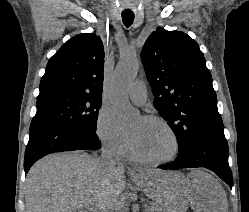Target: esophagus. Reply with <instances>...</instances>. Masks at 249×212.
<instances>
[{
    "mask_svg": "<svg viewBox=\"0 0 249 212\" xmlns=\"http://www.w3.org/2000/svg\"><path fill=\"white\" fill-rule=\"evenodd\" d=\"M129 172H134V170L133 169H129Z\"/></svg>",
    "mask_w": 249,
    "mask_h": 212,
    "instance_id": "1",
    "label": "esophagus"
}]
</instances>
